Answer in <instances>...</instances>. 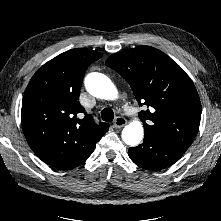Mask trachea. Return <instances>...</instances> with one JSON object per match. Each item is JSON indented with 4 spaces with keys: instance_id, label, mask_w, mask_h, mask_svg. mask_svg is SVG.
<instances>
[{
    "instance_id": "3493384b",
    "label": "trachea",
    "mask_w": 221,
    "mask_h": 221,
    "mask_svg": "<svg viewBox=\"0 0 221 221\" xmlns=\"http://www.w3.org/2000/svg\"><path fill=\"white\" fill-rule=\"evenodd\" d=\"M101 117L106 122H111L114 119V112L110 108H105L101 112Z\"/></svg>"
}]
</instances>
